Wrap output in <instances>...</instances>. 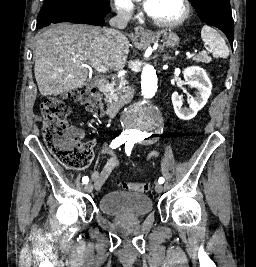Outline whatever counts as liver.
<instances>
[{
  "label": "liver",
  "mask_w": 256,
  "mask_h": 267,
  "mask_svg": "<svg viewBox=\"0 0 256 267\" xmlns=\"http://www.w3.org/2000/svg\"><path fill=\"white\" fill-rule=\"evenodd\" d=\"M106 30L68 22L42 30L36 42L34 68L41 96H58L86 86L88 68L82 64L91 66L97 60L114 72L124 68L129 42L108 36Z\"/></svg>",
  "instance_id": "1"
}]
</instances>
